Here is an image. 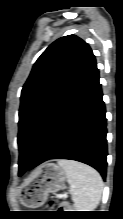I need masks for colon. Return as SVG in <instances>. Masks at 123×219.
Returning a JSON list of instances; mask_svg holds the SVG:
<instances>
[{"label":"colon","instance_id":"colon-1","mask_svg":"<svg viewBox=\"0 0 123 219\" xmlns=\"http://www.w3.org/2000/svg\"><path fill=\"white\" fill-rule=\"evenodd\" d=\"M61 207L64 209H67V208H69V205L67 203H63V204H61Z\"/></svg>","mask_w":123,"mask_h":219}]
</instances>
